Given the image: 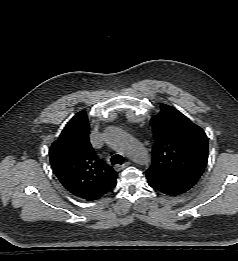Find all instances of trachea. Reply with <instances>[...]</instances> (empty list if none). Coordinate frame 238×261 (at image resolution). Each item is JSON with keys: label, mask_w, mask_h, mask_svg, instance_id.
Returning <instances> with one entry per match:
<instances>
[{"label": "trachea", "mask_w": 238, "mask_h": 261, "mask_svg": "<svg viewBox=\"0 0 238 261\" xmlns=\"http://www.w3.org/2000/svg\"><path fill=\"white\" fill-rule=\"evenodd\" d=\"M123 162H124V158L119 154L113 155L111 158V163L113 165L114 164H123Z\"/></svg>", "instance_id": "obj_1"}]
</instances>
